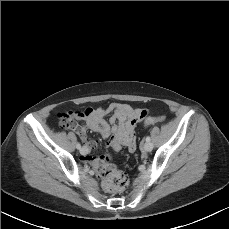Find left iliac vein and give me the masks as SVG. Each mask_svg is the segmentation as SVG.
<instances>
[{"mask_svg": "<svg viewBox=\"0 0 229 229\" xmlns=\"http://www.w3.org/2000/svg\"><path fill=\"white\" fill-rule=\"evenodd\" d=\"M152 149H153V144L151 142H146L144 144V150L145 151L150 152V151H152Z\"/></svg>", "mask_w": 229, "mask_h": 229, "instance_id": "1", "label": "left iliac vein"}]
</instances>
